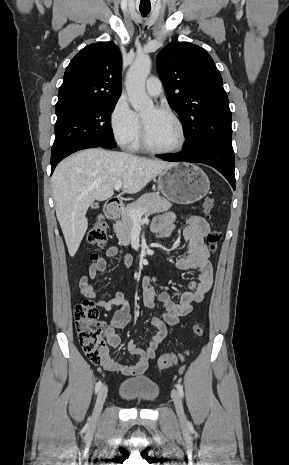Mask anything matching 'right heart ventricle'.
Listing matches in <instances>:
<instances>
[{
	"instance_id": "e07e8e85",
	"label": "right heart ventricle",
	"mask_w": 289,
	"mask_h": 465,
	"mask_svg": "<svg viewBox=\"0 0 289 465\" xmlns=\"http://www.w3.org/2000/svg\"><path fill=\"white\" fill-rule=\"evenodd\" d=\"M140 145L139 141L136 139L132 144H131V148L133 149H136L138 148Z\"/></svg>"
}]
</instances>
